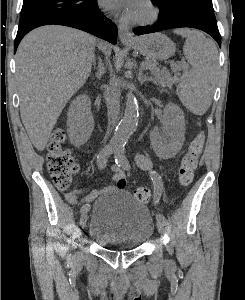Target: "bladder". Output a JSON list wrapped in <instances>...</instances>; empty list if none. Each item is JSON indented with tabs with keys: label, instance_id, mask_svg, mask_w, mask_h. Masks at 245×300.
I'll list each match as a JSON object with an SVG mask.
<instances>
[{
	"label": "bladder",
	"instance_id": "bladder-1",
	"mask_svg": "<svg viewBox=\"0 0 245 300\" xmlns=\"http://www.w3.org/2000/svg\"><path fill=\"white\" fill-rule=\"evenodd\" d=\"M154 231L148 207L127 191L113 189L94 202L87 232L102 247L133 250L145 244Z\"/></svg>",
	"mask_w": 245,
	"mask_h": 300
}]
</instances>
